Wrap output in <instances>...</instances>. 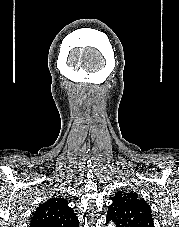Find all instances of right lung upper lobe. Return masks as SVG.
<instances>
[{
	"mask_svg": "<svg viewBox=\"0 0 179 227\" xmlns=\"http://www.w3.org/2000/svg\"><path fill=\"white\" fill-rule=\"evenodd\" d=\"M30 227H79V221L67 200L56 197L36 209Z\"/></svg>",
	"mask_w": 179,
	"mask_h": 227,
	"instance_id": "1",
	"label": "right lung upper lobe"
}]
</instances>
